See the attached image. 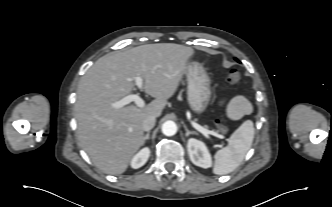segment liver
I'll use <instances>...</instances> for the list:
<instances>
[{"label":"liver","instance_id":"1","mask_svg":"<svg viewBox=\"0 0 332 207\" xmlns=\"http://www.w3.org/2000/svg\"><path fill=\"white\" fill-rule=\"evenodd\" d=\"M194 50L174 43L147 44L99 58L77 88L75 118L80 145L93 164L106 174H122L144 144L143 120L159 117L174 95ZM154 97L138 108L113 104L135 88V77Z\"/></svg>","mask_w":332,"mask_h":207}]
</instances>
